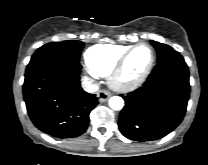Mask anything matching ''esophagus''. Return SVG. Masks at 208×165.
<instances>
[{
  "label": "esophagus",
  "instance_id": "obj_1",
  "mask_svg": "<svg viewBox=\"0 0 208 165\" xmlns=\"http://www.w3.org/2000/svg\"><path fill=\"white\" fill-rule=\"evenodd\" d=\"M97 97L101 102H106L110 98V93L107 90H100L97 93Z\"/></svg>",
  "mask_w": 208,
  "mask_h": 165
}]
</instances>
